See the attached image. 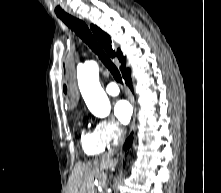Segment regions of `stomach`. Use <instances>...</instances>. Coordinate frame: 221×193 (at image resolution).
<instances>
[{
  "mask_svg": "<svg viewBox=\"0 0 221 193\" xmlns=\"http://www.w3.org/2000/svg\"><path fill=\"white\" fill-rule=\"evenodd\" d=\"M63 103H66V107H77L78 98H63Z\"/></svg>",
  "mask_w": 221,
  "mask_h": 193,
  "instance_id": "0dacf381",
  "label": "stomach"
}]
</instances>
